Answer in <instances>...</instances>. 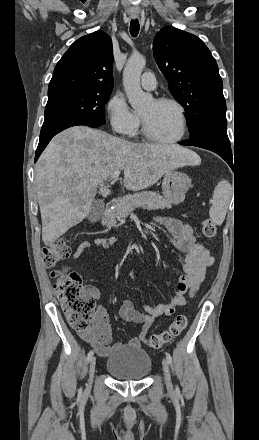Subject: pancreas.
I'll return each mask as SVG.
<instances>
[{
    "mask_svg": "<svg viewBox=\"0 0 259 440\" xmlns=\"http://www.w3.org/2000/svg\"><path fill=\"white\" fill-rule=\"evenodd\" d=\"M136 208L147 210L171 208V202L159 193L152 191H142L133 195H127L118 201L114 210L107 212L103 225L107 228L115 227L117 220L127 217Z\"/></svg>",
    "mask_w": 259,
    "mask_h": 440,
    "instance_id": "1",
    "label": "pancreas"
}]
</instances>
